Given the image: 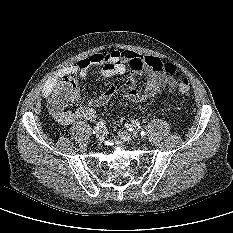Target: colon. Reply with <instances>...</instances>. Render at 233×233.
<instances>
[{
    "label": "colon",
    "instance_id": "obj_1",
    "mask_svg": "<svg viewBox=\"0 0 233 233\" xmlns=\"http://www.w3.org/2000/svg\"><path fill=\"white\" fill-rule=\"evenodd\" d=\"M164 70L173 75H177L173 65H165ZM179 93L188 95L190 92V84L187 78L178 76L176 81ZM79 97V89L73 76H66L60 79L55 90L54 105L56 108H63L67 102L77 100Z\"/></svg>",
    "mask_w": 233,
    "mask_h": 233
}]
</instances>
